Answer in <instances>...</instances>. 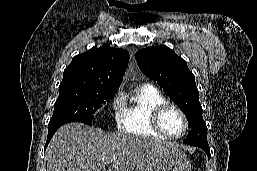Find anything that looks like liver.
Returning a JSON list of instances; mask_svg holds the SVG:
<instances>
[{"label": "liver", "instance_id": "1", "mask_svg": "<svg viewBox=\"0 0 257 171\" xmlns=\"http://www.w3.org/2000/svg\"><path fill=\"white\" fill-rule=\"evenodd\" d=\"M173 143L106 133L83 123L63 125L46 152L47 171H133L145 152Z\"/></svg>", "mask_w": 257, "mask_h": 171}]
</instances>
